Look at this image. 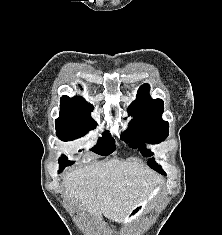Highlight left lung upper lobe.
I'll return each mask as SVG.
<instances>
[{"label":"left lung upper lobe","mask_w":222,"mask_h":235,"mask_svg":"<svg viewBox=\"0 0 222 235\" xmlns=\"http://www.w3.org/2000/svg\"><path fill=\"white\" fill-rule=\"evenodd\" d=\"M149 85H142L137 93V100L128 107V112L133 116L129 130L122 134V138L132 148H137L144 156H152L142 140L149 143H160L168 136V122L162 120L164 104L161 99H151L148 95ZM148 165L157 172L166 175L162 168L153 160Z\"/></svg>","instance_id":"1"}]
</instances>
